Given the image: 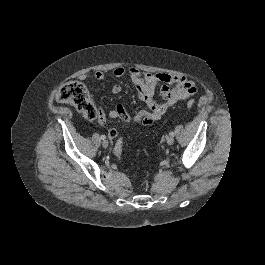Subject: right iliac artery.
Instances as JSON below:
<instances>
[{
  "instance_id": "right-iliac-artery-1",
  "label": "right iliac artery",
  "mask_w": 265,
  "mask_h": 265,
  "mask_svg": "<svg viewBox=\"0 0 265 265\" xmlns=\"http://www.w3.org/2000/svg\"><path fill=\"white\" fill-rule=\"evenodd\" d=\"M102 140H105L106 139V136L105 135H101L100 137Z\"/></svg>"
}]
</instances>
